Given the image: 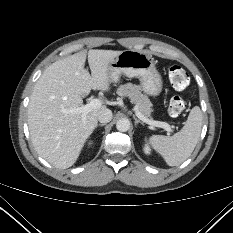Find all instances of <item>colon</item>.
<instances>
[{"instance_id":"1","label":"colon","mask_w":233,"mask_h":233,"mask_svg":"<svg viewBox=\"0 0 233 233\" xmlns=\"http://www.w3.org/2000/svg\"><path fill=\"white\" fill-rule=\"evenodd\" d=\"M167 73L171 85L177 90L185 89L190 83L188 73L179 65H170ZM185 108L186 104L184 99L180 96H174L169 103V114L173 117H177Z\"/></svg>"}]
</instances>
